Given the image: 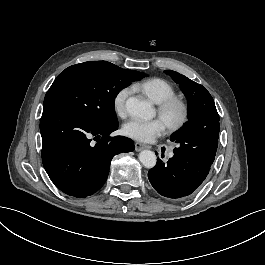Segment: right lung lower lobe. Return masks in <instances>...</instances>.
I'll return each mask as SVG.
<instances>
[{
  "label": "right lung lower lobe",
  "mask_w": 265,
  "mask_h": 265,
  "mask_svg": "<svg viewBox=\"0 0 265 265\" xmlns=\"http://www.w3.org/2000/svg\"><path fill=\"white\" fill-rule=\"evenodd\" d=\"M117 128L118 124L93 127L61 111H43L42 162L54 185L79 198L98 191L108 177L113 156L135 149L131 139L109 136Z\"/></svg>",
  "instance_id": "98d812e1"
}]
</instances>
